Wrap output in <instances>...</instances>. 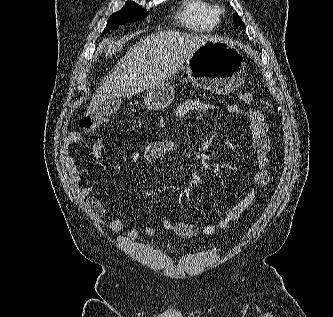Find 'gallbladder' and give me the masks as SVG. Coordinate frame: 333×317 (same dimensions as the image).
<instances>
[{"label": "gallbladder", "instance_id": "obj_1", "mask_svg": "<svg viewBox=\"0 0 333 317\" xmlns=\"http://www.w3.org/2000/svg\"><path fill=\"white\" fill-rule=\"evenodd\" d=\"M121 106V98L113 97L106 99L100 103L96 109V114L101 117L111 116L119 110Z\"/></svg>", "mask_w": 333, "mask_h": 317}]
</instances>
